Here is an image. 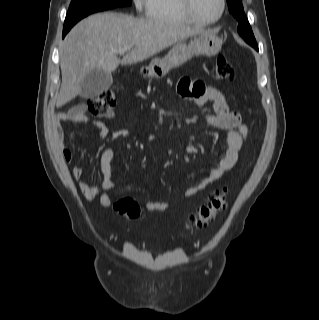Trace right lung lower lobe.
I'll return each mask as SVG.
<instances>
[{"instance_id":"obj_1","label":"right lung lower lobe","mask_w":319,"mask_h":320,"mask_svg":"<svg viewBox=\"0 0 319 320\" xmlns=\"http://www.w3.org/2000/svg\"><path fill=\"white\" fill-rule=\"evenodd\" d=\"M70 29H71V28H69V29H63V35H62L63 38L65 37V35L68 33V31H69Z\"/></svg>"}]
</instances>
